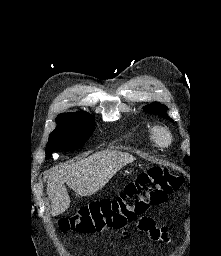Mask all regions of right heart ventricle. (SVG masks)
I'll return each mask as SVG.
<instances>
[{
    "label": "right heart ventricle",
    "mask_w": 221,
    "mask_h": 256,
    "mask_svg": "<svg viewBox=\"0 0 221 256\" xmlns=\"http://www.w3.org/2000/svg\"><path fill=\"white\" fill-rule=\"evenodd\" d=\"M147 140L150 142V143H153L154 139H153V136L151 133H148L147 135Z\"/></svg>",
    "instance_id": "obj_1"
}]
</instances>
